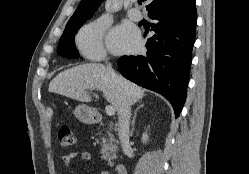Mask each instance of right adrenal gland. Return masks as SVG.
<instances>
[{"mask_svg": "<svg viewBox=\"0 0 249 174\" xmlns=\"http://www.w3.org/2000/svg\"><path fill=\"white\" fill-rule=\"evenodd\" d=\"M144 106V104H141L139 105L136 110L134 111V115H133V119H132V129H131V134H133L134 132V129H135V119H136V116H137V112L139 111L140 108H142Z\"/></svg>", "mask_w": 249, "mask_h": 174, "instance_id": "right-adrenal-gland-1", "label": "right adrenal gland"}]
</instances>
